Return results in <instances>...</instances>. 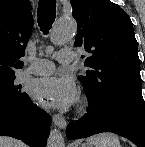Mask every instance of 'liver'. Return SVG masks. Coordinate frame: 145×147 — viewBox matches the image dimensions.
I'll return each instance as SVG.
<instances>
[{"instance_id": "6515ba94", "label": "liver", "mask_w": 145, "mask_h": 147, "mask_svg": "<svg viewBox=\"0 0 145 147\" xmlns=\"http://www.w3.org/2000/svg\"><path fill=\"white\" fill-rule=\"evenodd\" d=\"M0 147H26L21 141L0 136Z\"/></svg>"}]
</instances>
